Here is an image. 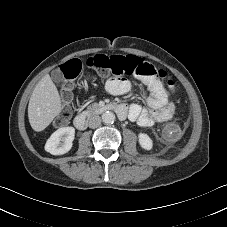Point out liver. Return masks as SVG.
Segmentation results:
<instances>
[{
	"instance_id": "obj_1",
	"label": "liver",
	"mask_w": 227,
	"mask_h": 227,
	"mask_svg": "<svg viewBox=\"0 0 227 227\" xmlns=\"http://www.w3.org/2000/svg\"><path fill=\"white\" fill-rule=\"evenodd\" d=\"M59 92L49 74L35 86L28 104V118L32 129L43 131L61 112Z\"/></svg>"
}]
</instances>
